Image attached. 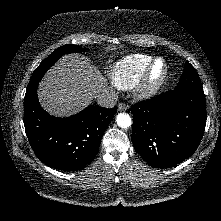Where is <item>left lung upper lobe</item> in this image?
<instances>
[{
    "label": "left lung upper lobe",
    "mask_w": 221,
    "mask_h": 221,
    "mask_svg": "<svg viewBox=\"0 0 221 221\" xmlns=\"http://www.w3.org/2000/svg\"><path fill=\"white\" fill-rule=\"evenodd\" d=\"M175 89L176 90L186 89V90L203 93V87L200 78L196 70L188 61L185 63L183 74Z\"/></svg>",
    "instance_id": "5c2ea615"
}]
</instances>
